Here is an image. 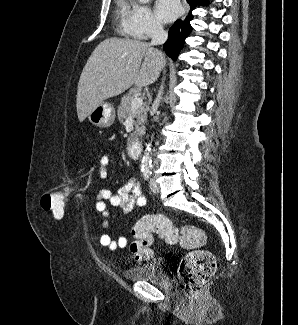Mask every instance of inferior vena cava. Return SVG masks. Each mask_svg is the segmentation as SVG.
<instances>
[{
	"label": "inferior vena cava",
	"mask_w": 298,
	"mask_h": 325,
	"mask_svg": "<svg viewBox=\"0 0 298 325\" xmlns=\"http://www.w3.org/2000/svg\"><path fill=\"white\" fill-rule=\"evenodd\" d=\"M168 30H164L162 24L160 22H155L153 26V32L151 36L150 46H154V44H164L168 38ZM165 84V76L162 78L161 86L158 90L157 98H155L152 104V112L154 114L155 110H157L158 106H160V100L163 94V88Z\"/></svg>",
	"instance_id": "inferior-vena-cava-1"
}]
</instances>
